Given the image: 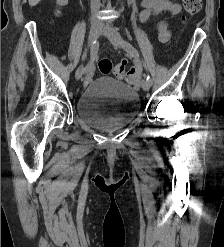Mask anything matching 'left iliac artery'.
<instances>
[{
	"label": "left iliac artery",
	"mask_w": 224,
	"mask_h": 247,
	"mask_svg": "<svg viewBox=\"0 0 224 247\" xmlns=\"http://www.w3.org/2000/svg\"><path fill=\"white\" fill-rule=\"evenodd\" d=\"M123 45L129 54H131L133 57H139L138 51L129 42L123 41ZM146 80L150 85H152L153 82L149 74L146 75Z\"/></svg>",
	"instance_id": "1"
}]
</instances>
